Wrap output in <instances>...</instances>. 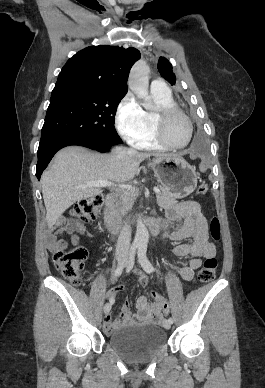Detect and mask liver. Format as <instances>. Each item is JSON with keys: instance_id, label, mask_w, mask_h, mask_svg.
<instances>
[{"instance_id": "obj_1", "label": "liver", "mask_w": 265, "mask_h": 388, "mask_svg": "<svg viewBox=\"0 0 265 388\" xmlns=\"http://www.w3.org/2000/svg\"><path fill=\"white\" fill-rule=\"evenodd\" d=\"M116 152H125L119 158ZM161 158L174 156L181 158L183 154H150L116 148L111 154H91L87 148L68 146L57 152L49 168L41 176L42 194L47 210L46 220L49 230L61 218L65 210L79 200L102 194V188H80L86 182H127L133 180L141 162L145 158Z\"/></svg>"}]
</instances>
